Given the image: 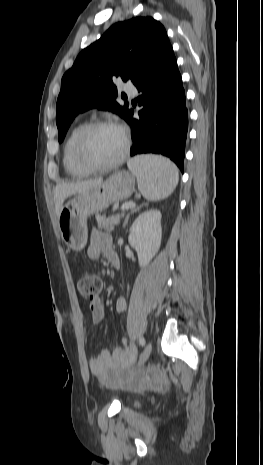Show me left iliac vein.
Returning <instances> with one entry per match:
<instances>
[{
    "mask_svg": "<svg viewBox=\"0 0 263 465\" xmlns=\"http://www.w3.org/2000/svg\"><path fill=\"white\" fill-rule=\"evenodd\" d=\"M152 352V343L149 341L144 348V351L142 352L139 361L137 363V366H141L145 363V361L149 358L150 354Z\"/></svg>",
    "mask_w": 263,
    "mask_h": 465,
    "instance_id": "1",
    "label": "left iliac vein"
}]
</instances>
